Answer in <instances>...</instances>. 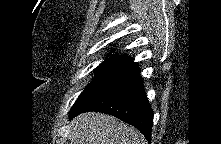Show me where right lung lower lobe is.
I'll return each mask as SVG.
<instances>
[{
  "instance_id": "98d812e1",
  "label": "right lung lower lobe",
  "mask_w": 221,
  "mask_h": 144,
  "mask_svg": "<svg viewBox=\"0 0 221 144\" xmlns=\"http://www.w3.org/2000/svg\"><path fill=\"white\" fill-rule=\"evenodd\" d=\"M87 111L113 115L136 127L148 141L151 140L153 111L146 97L138 68L117 86L108 90L85 109L71 114L69 118Z\"/></svg>"
}]
</instances>
